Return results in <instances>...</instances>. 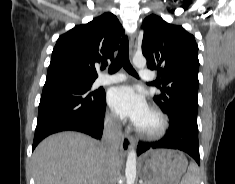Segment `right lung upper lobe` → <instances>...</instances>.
Masks as SVG:
<instances>
[{"label":"right lung upper lobe","mask_w":235,"mask_h":184,"mask_svg":"<svg viewBox=\"0 0 235 184\" xmlns=\"http://www.w3.org/2000/svg\"><path fill=\"white\" fill-rule=\"evenodd\" d=\"M121 34L119 20L108 12L61 35L52 52L46 83L66 77L95 80L96 68L114 59Z\"/></svg>","instance_id":"1"}]
</instances>
